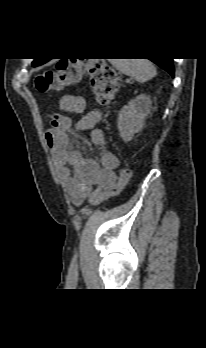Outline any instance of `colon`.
<instances>
[{
    "instance_id": "1",
    "label": "colon",
    "mask_w": 206,
    "mask_h": 348,
    "mask_svg": "<svg viewBox=\"0 0 206 348\" xmlns=\"http://www.w3.org/2000/svg\"><path fill=\"white\" fill-rule=\"evenodd\" d=\"M84 74L89 75L92 92L99 104H107L115 97L119 88L116 71L104 60L92 57L60 59L53 69H47L37 76L35 86L39 92L47 93L77 82ZM129 177L128 169H120L116 183L100 185L91 194V204L96 205L118 195L127 184Z\"/></svg>"
}]
</instances>
